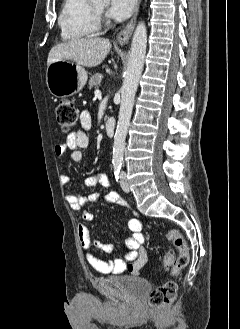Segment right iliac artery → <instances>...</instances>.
Instances as JSON below:
<instances>
[{
  "label": "right iliac artery",
  "mask_w": 240,
  "mask_h": 329,
  "mask_svg": "<svg viewBox=\"0 0 240 329\" xmlns=\"http://www.w3.org/2000/svg\"><path fill=\"white\" fill-rule=\"evenodd\" d=\"M120 168H121L120 166H114V175H115L116 181L119 180Z\"/></svg>",
  "instance_id": "82829eb1"
}]
</instances>
